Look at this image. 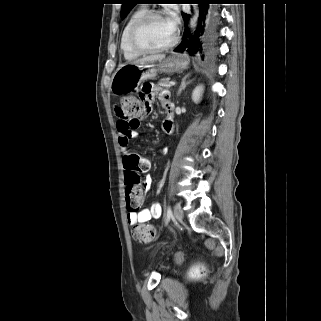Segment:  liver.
<instances>
[{"mask_svg": "<svg viewBox=\"0 0 321 321\" xmlns=\"http://www.w3.org/2000/svg\"><path fill=\"white\" fill-rule=\"evenodd\" d=\"M165 58V55H151L143 57L137 61H135V64H145V63H153L155 61H160Z\"/></svg>", "mask_w": 321, "mask_h": 321, "instance_id": "liver-1", "label": "liver"}]
</instances>
